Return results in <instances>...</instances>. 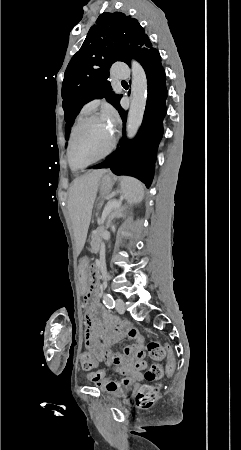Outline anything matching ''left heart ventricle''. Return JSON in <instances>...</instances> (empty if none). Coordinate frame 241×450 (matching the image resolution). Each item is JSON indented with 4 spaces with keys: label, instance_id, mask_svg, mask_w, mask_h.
I'll list each match as a JSON object with an SVG mask.
<instances>
[{
    "label": "left heart ventricle",
    "instance_id": "1",
    "mask_svg": "<svg viewBox=\"0 0 241 450\" xmlns=\"http://www.w3.org/2000/svg\"><path fill=\"white\" fill-rule=\"evenodd\" d=\"M78 131L76 140L80 144H75L73 147L76 153L75 164L87 165L91 164L93 160H101L102 153L108 151V140L112 137V129L107 120V117L100 113H87L79 118Z\"/></svg>",
    "mask_w": 241,
    "mask_h": 450
}]
</instances>
